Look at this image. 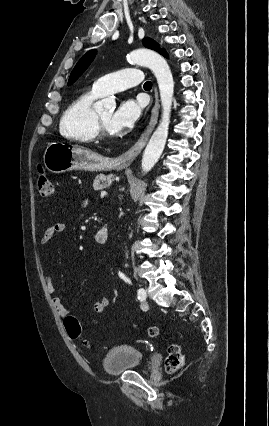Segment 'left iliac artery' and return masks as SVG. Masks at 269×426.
Masks as SVG:
<instances>
[{"mask_svg":"<svg viewBox=\"0 0 269 426\" xmlns=\"http://www.w3.org/2000/svg\"><path fill=\"white\" fill-rule=\"evenodd\" d=\"M119 276L124 279L126 282L130 283V280L121 272H119ZM146 299V292L144 289H139L138 290V300L143 301Z\"/></svg>","mask_w":269,"mask_h":426,"instance_id":"left-iliac-artery-1","label":"left iliac artery"}]
</instances>
